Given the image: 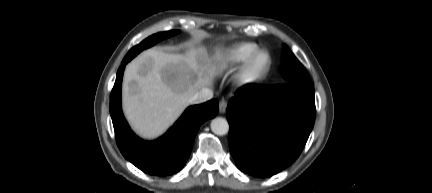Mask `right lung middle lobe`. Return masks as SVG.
<instances>
[{"label": "right lung middle lobe", "instance_id": "obj_1", "mask_svg": "<svg viewBox=\"0 0 432 193\" xmlns=\"http://www.w3.org/2000/svg\"><path fill=\"white\" fill-rule=\"evenodd\" d=\"M179 31L178 30H172V31H168V32H162V33H157L155 35H152L150 37H148L147 39H145L144 41H142L140 44H138L137 46L133 47L128 54L125 56V58L123 60H127L130 61L132 58H134L138 53H140L142 50L153 46L154 44H156L158 41L163 40L165 38H168L172 35L177 34Z\"/></svg>", "mask_w": 432, "mask_h": 193}]
</instances>
